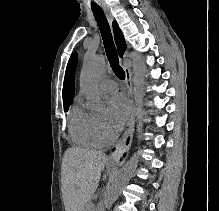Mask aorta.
Instances as JSON below:
<instances>
[{"label":"aorta","mask_w":219,"mask_h":211,"mask_svg":"<svg viewBox=\"0 0 219 211\" xmlns=\"http://www.w3.org/2000/svg\"><path fill=\"white\" fill-rule=\"evenodd\" d=\"M133 66V95L135 100V116L138 120V136L142 133L143 120V98L145 88L146 66L143 58L137 52H131ZM105 69V59L100 56H89L84 59L80 73V88L89 97V108L97 118H105L108 114L107 107L101 99L96 85ZM139 161V154L134 153L132 157L123 165L119 173L108 185L104 198L101 201L102 207H110L119 197L120 193L132 178Z\"/></svg>","instance_id":"1"}]
</instances>
